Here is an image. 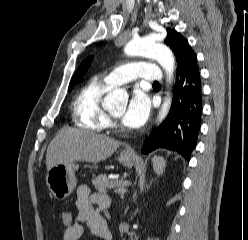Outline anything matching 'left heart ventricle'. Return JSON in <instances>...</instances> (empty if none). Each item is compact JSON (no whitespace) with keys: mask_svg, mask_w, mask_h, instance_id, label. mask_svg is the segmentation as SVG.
<instances>
[{"mask_svg":"<svg viewBox=\"0 0 248 240\" xmlns=\"http://www.w3.org/2000/svg\"><path fill=\"white\" fill-rule=\"evenodd\" d=\"M124 110H125V107H122L121 109L119 110H115L112 112V114L116 117H121L124 113Z\"/></svg>","mask_w":248,"mask_h":240,"instance_id":"b2bd125f","label":"left heart ventricle"}]
</instances>
